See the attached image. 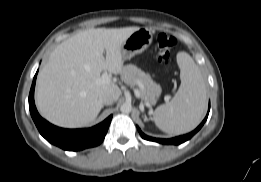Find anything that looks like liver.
I'll list each match as a JSON object with an SVG mask.
<instances>
[{
	"mask_svg": "<svg viewBox=\"0 0 261 182\" xmlns=\"http://www.w3.org/2000/svg\"><path fill=\"white\" fill-rule=\"evenodd\" d=\"M138 29L91 28L59 44L38 74L35 98L39 113L66 128L92 123L103 107L104 95H111L114 101L121 95L114 82H98L101 73H123L121 46Z\"/></svg>",
	"mask_w": 261,
	"mask_h": 182,
	"instance_id": "liver-1",
	"label": "liver"
}]
</instances>
